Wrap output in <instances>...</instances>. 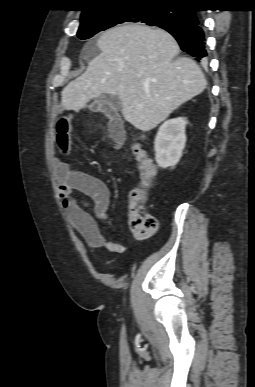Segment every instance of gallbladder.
Masks as SVG:
<instances>
[{"instance_id": "obj_1", "label": "gallbladder", "mask_w": 255, "mask_h": 387, "mask_svg": "<svg viewBox=\"0 0 255 387\" xmlns=\"http://www.w3.org/2000/svg\"><path fill=\"white\" fill-rule=\"evenodd\" d=\"M112 106H115L116 108H119V100L117 96H100L97 99L94 100V102L91 105V109L93 110H100L102 112H106V110Z\"/></svg>"}]
</instances>
